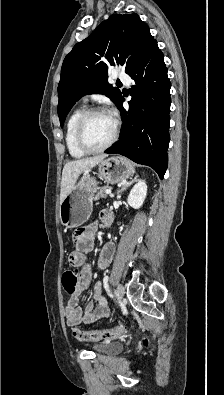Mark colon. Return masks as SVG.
Masks as SVG:
<instances>
[{
	"label": "colon",
	"mask_w": 224,
	"mask_h": 395,
	"mask_svg": "<svg viewBox=\"0 0 224 395\" xmlns=\"http://www.w3.org/2000/svg\"><path fill=\"white\" fill-rule=\"evenodd\" d=\"M63 287L68 294H73L77 288V276L72 270H68L63 275ZM124 324H117L111 328L82 330L74 329L73 335L79 341H106L123 335Z\"/></svg>",
	"instance_id": "1"
}]
</instances>
